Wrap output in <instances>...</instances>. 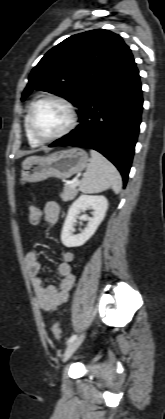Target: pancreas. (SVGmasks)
Masks as SVG:
<instances>
[{"label": "pancreas", "mask_w": 165, "mask_h": 419, "mask_svg": "<svg viewBox=\"0 0 165 419\" xmlns=\"http://www.w3.org/2000/svg\"><path fill=\"white\" fill-rule=\"evenodd\" d=\"M78 191L79 189L77 188V185L74 186L73 184H65L60 197L63 201H71L77 196Z\"/></svg>", "instance_id": "1"}]
</instances>
